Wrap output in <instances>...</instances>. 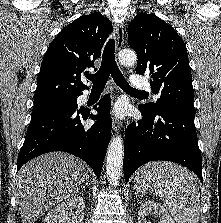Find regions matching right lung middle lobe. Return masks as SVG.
Masks as SVG:
<instances>
[{"label":"right lung middle lobe","instance_id":"obj_1","mask_svg":"<svg viewBox=\"0 0 221 223\" xmlns=\"http://www.w3.org/2000/svg\"><path fill=\"white\" fill-rule=\"evenodd\" d=\"M64 107H77V98H69L43 104H36L33 107L32 115Z\"/></svg>","mask_w":221,"mask_h":223}]
</instances>
